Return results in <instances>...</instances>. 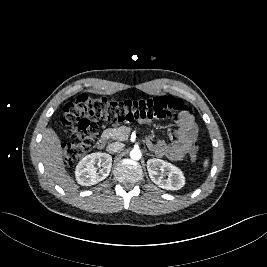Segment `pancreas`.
I'll use <instances>...</instances> for the list:
<instances>
[{"label":"pancreas","mask_w":267,"mask_h":267,"mask_svg":"<svg viewBox=\"0 0 267 267\" xmlns=\"http://www.w3.org/2000/svg\"><path fill=\"white\" fill-rule=\"evenodd\" d=\"M130 132L131 128L126 126H120L116 128L106 129L103 132V135L112 140L125 141L128 139V135L130 134Z\"/></svg>","instance_id":"1"}]
</instances>
